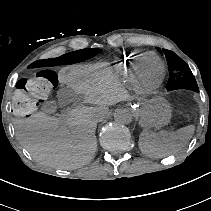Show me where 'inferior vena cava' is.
I'll list each match as a JSON object with an SVG mask.
<instances>
[{
    "instance_id": "obj_1",
    "label": "inferior vena cava",
    "mask_w": 211,
    "mask_h": 211,
    "mask_svg": "<svg viewBox=\"0 0 211 211\" xmlns=\"http://www.w3.org/2000/svg\"><path fill=\"white\" fill-rule=\"evenodd\" d=\"M100 115H102V114L101 113H98L97 114V117H96L97 118V121L101 120Z\"/></svg>"
}]
</instances>
